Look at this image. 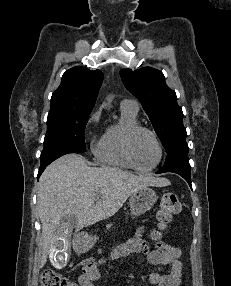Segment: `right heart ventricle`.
Masks as SVG:
<instances>
[{"label": "right heart ventricle", "instance_id": "e07e8e85", "mask_svg": "<svg viewBox=\"0 0 231 286\" xmlns=\"http://www.w3.org/2000/svg\"><path fill=\"white\" fill-rule=\"evenodd\" d=\"M137 112L121 108V117L117 123L108 126L93 148L94 157L103 165L131 169L123 149L124 135L126 131L138 125Z\"/></svg>", "mask_w": 231, "mask_h": 286}]
</instances>
